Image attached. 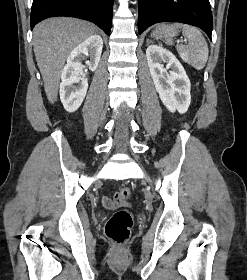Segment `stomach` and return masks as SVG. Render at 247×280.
Returning a JSON list of instances; mask_svg holds the SVG:
<instances>
[{
	"instance_id": "0dacf381",
	"label": "stomach",
	"mask_w": 247,
	"mask_h": 280,
	"mask_svg": "<svg viewBox=\"0 0 247 280\" xmlns=\"http://www.w3.org/2000/svg\"><path fill=\"white\" fill-rule=\"evenodd\" d=\"M177 33H178L177 27H174L172 25H159L153 31L152 36H154L157 39H162V38L174 37L177 35Z\"/></svg>"
}]
</instances>
